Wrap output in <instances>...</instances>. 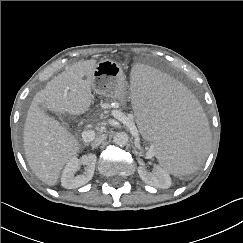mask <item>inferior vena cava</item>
<instances>
[{"mask_svg":"<svg viewBox=\"0 0 243 243\" xmlns=\"http://www.w3.org/2000/svg\"><path fill=\"white\" fill-rule=\"evenodd\" d=\"M106 138V134H102L101 136L97 137L95 140H93L92 147H98Z\"/></svg>","mask_w":243,"mask_h":243,"instance_id":"602c4592","label":"inferior vena cava"}]
</instances>
